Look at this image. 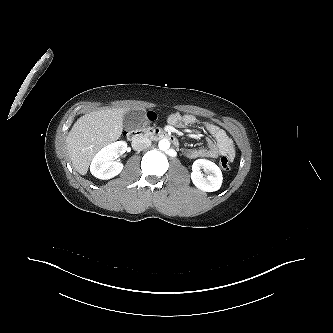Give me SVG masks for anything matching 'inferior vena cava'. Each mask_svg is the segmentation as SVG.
Here are the masks:
<instances>
[{"label": "inferior vena cava", "instance_id": "inferior-vena-cava-1", "mask_svg": "<svg viewBox=\"0 0 333 333\" xmlns=\"http://www.w3.org/2000/svg\"><path fill=\"white\" fill-rule=\"evenodd\" d=\"M151 145V141L148 138H137L132 141V148L135 150H143Z\"/></svg>", "mask_w": 333, "mask_h": 333}]
</instances>
